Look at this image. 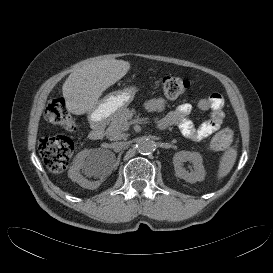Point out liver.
<instances>
[{
	"instance_id": "liver-1",
	"label": "liver",
	"mask_w": 273,
	"mask_h": 273,
	"mask_svg": "<svg viewBox=\"0 0 273 273\" xmlns=\"http://www.w3.org/2000/svg\"><path fill=\"white\" fill-rule=\"evenodd\" d=\"M129 70L128 61L116 59L93 61L78 67L62 86L67 110L76 115L91 112L98 105L102 93Z\"/></svg>"
}]
</instances>
